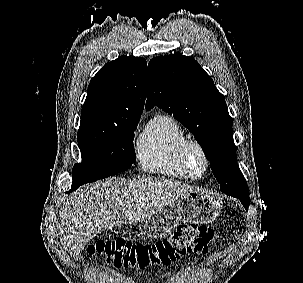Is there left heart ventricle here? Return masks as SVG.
<instances>
[{
    "mask_svg": "<svg viewBox=\"0 0 303 283\" xmlns=\"http://www.w3.org/2000/svg\"><path fill=\"white\" fill-rule=\"evenodd\" d=\"M191 165L193 170L196 173H199L202 169V163L199 155L196 152H192L191 157H190Z\"/></svg>",
    "mask_w": 303,
    "mask_h": 283,
    "instance_id": "obj_1",
    "label": "left heart ventricle"
}]
</instances>
